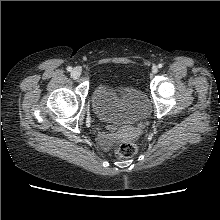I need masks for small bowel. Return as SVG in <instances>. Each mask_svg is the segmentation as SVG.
I'll return each mask as SVG.
<instances>
[{"instance_id":"small-bowel-1","label":"small bowel","mask_w":220,"mask_h":220,"mask_svg":"<svg viewBox=\"0 0 220 220\" xmlns=\"http://www.w3.org/2000/svg\"><path fill=\"white\" fill-rule=\"evenodd\" d=\"M101 116L106 120L107 119V113L105 110L101 111Z\"/></svg>"}]
</instances>
